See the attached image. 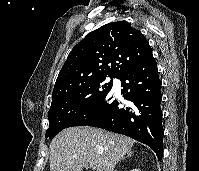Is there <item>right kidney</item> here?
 Segmentation results:
<instances>
[{"label":"right kidney","instance_id":"right-kidney-1","mask_svg":"<svg viewBox=\"0 0 199 171\" xmlns=\"http://www.w3.org/2000/svg\"><path fill=\"white\" fill-rule=\"evenodd\" d=\"M131 171H140L139 169H133V170H131Z\"/></svg>","mask_w":199,"mask_h":171}]
</instances>
